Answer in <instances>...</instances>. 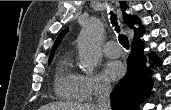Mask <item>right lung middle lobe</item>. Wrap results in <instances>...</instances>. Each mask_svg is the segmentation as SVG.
<instances>
[{
    "instance_id": "dd1d6c3e",
    "label": "right lung middle lobe",
    "mask_w": 171,
    "mask_h": 110,
    "mask_svg": "<svg viewBox=\"0 0 171 110\" xmlns=\"http://www.w3.org/2000/svg\"><path fill=\"white\" fill-rule=\"evenodd\" d=\"M52 59H53V56H50V58H49V60H48V64L51 63Z\"/></svg>"
}]
</instances>
